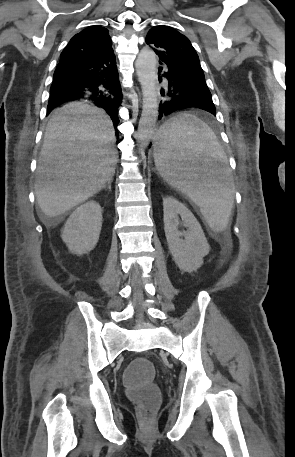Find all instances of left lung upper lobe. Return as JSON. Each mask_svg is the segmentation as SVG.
Wrapping results in <instances>:
<instances>
[{
	"mask_svg": "<svg viewBox=\"0 0 295 457\" xmlns=\"http://www.w3.org/2000/svg\"><path fill=\"white\" fill-rule=\"evenodd\" d=\"M146 43L154 46L159 54L169 60L183 65L192 71L203 73L199 57L191 42L176 29L164 25L154 26L146 36ZM202 78L206 86L204 73Z\"/></svg>",
	"mask_w": 295,
	"mask_h": 457,
	"instance_id": "5c2ea615",
	"label": "left lung upper lobe"
}]
</instances>
